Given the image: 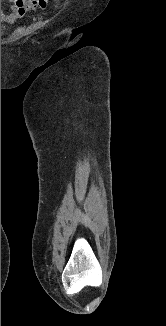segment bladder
Masks as SVG:
<instances>
[{
  "mask_svg": "<svg viewBox=\"0 0 166 326\" xmlns=\"http://www.w3.org/2000/svg\"><path fill=\"white\" fill-rule=\"evenodd\" d=\"M3 28H4V26L1 25V31H2Z\"/></svg>",
  "mask_w": 166,
  "mask_h": 326,
  "instance_id": "obj_1",
  "label": "bladder"
}]
</instances>
